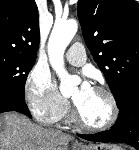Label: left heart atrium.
Here are the masks:
<instances>
[{"label": "left heart atrium", "instance_id": "1", "mask_svg": "<svg viewBox=\"0 0 139 150\" xmlns=\"http://www.w3.org/2000/svg\"><path fill=\"white\" fill-rule=\"evenodd\" d=\"M90 89H91V87L88 82H84L81 86V90H83V91H88Z\"/></svg>", "mask_w": 139, "mask_h": 150}]
</instances>
